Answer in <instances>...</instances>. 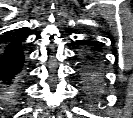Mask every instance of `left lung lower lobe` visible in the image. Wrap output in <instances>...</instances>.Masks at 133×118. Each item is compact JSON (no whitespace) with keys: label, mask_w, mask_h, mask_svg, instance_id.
<instances>
[{"label":"left lung lower lobe","mask_w":133,"mask_h":118,"mask_svg":"<svg viewBox=\"0 0 133 118\" xmlns=\"http://www.w3.org/2000/svg\"><path fill=\"white\" fill-rule=\"evenodd\" d=\"M100 49L93 45L92 47L85 44L81 51V60L83 62V86L84 90H90L97 94L101 101L103 95V80H102V57Z\"/></svg>","instance_id":"1"}]
</instances>
